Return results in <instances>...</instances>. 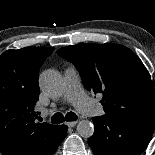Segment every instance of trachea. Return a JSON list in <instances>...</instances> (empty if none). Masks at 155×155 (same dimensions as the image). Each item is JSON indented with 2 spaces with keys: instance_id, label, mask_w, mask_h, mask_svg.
<instances>
[{
  "instance_id": "1",
  "label": "trachea",
  "mask_w": 155,
  "mask_h": 155,
  "mask_svg": "<svg viewBox=\"0 0 155 155\" xmlns=\"http://www.w3.org/2000/svg\"><path fill=\"white\" fill-rule=\"evenodd\" d=\"M77 115L74 112H68L65 117L61 113H55L52 116L51 122L54 124H59L66 121H76L77 120Z\"/></svg>"
}]
</instances>
